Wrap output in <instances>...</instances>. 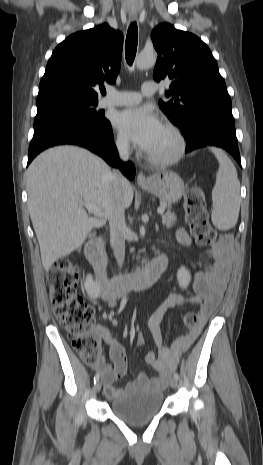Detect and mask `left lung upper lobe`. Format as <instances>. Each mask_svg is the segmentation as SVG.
Here are the masks:
<instances>
[{
  "mask_svg": "<svg viewBox=\"0 0 263 465\" xmlns=\"http://www.w3.org/2000/svg\"><path fill=\"white\" fill-rule=\"evenodd\" d=\"M158 52L153 72L156 81L172 80L159 101L162 111L183 132L194 128L207 112L232 116L231 98L210 49L192 33L177 30L169 23L158 25L151 33Z\"/></svg>",
  "mask_w": 263,
  "mask_h": 465,
  "instance_id": "5c2ea615",
  "label": "left lung upper lobe"
}]
</instances>
